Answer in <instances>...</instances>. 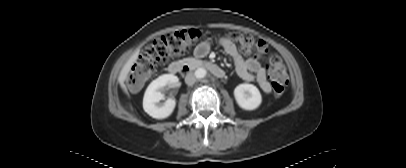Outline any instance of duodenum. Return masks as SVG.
<instances>
[{
  "instance_id": "obj_1",
  "label": "duodenum",
  "mask_w": 406,
  "mask_h": 168,
  "mask_svg": "<svg viewBox=\"0 0 406 168\" xmlns=\"http://www.w3.org/2000/svg\"><path fill=\"white\" fill-rule=\"evenodd\" d=\"M196 68L208 69L217 78L225 77V71L219 65H217L211 61H200V60L189 61V62H180V61L172 62L168 66V72L171 74L188 73L192 69H196Z\"/></svg>"
}]
</instances>
